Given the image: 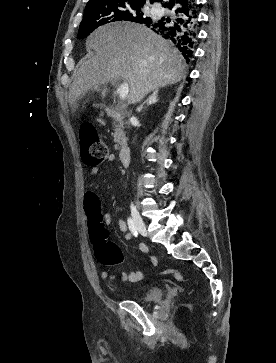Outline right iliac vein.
<instances>
[{
    "label": "right iliac vein",
    "instance_id": "obj_1",
    "mask_svg": "<svg viewBox=\"0 0 276 363\" xmlns=\"http://www.w3.org/2000/svg\"><path fill=\"white\" fill-rule=\"evenodd\" d=\"M131 215H132V219H133V222L135 224L137 231L141 235L147 236V229H146L145 223H144L142 217L140 216L139 212L136 210V208L133 207L131 209Z\"/></svg>",
    "mask_w": 276,
    "mask_h": 363
}]
</instances>
